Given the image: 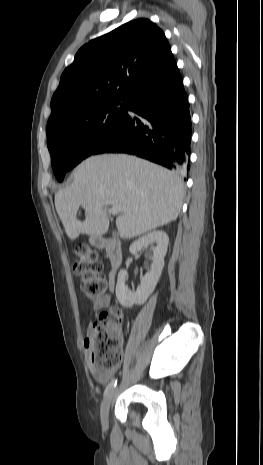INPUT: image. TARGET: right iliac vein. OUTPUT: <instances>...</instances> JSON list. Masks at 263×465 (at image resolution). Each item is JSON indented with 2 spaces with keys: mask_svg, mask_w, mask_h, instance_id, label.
<instances>
[{
  "mask_svg": "<svg viewBox=\"0 0 263 465\" xmlns=\"http://www.w3.org/2000/svg\"><path fill=\"white\" fill-rule=\"evenodd\" d=\"M114 394H115V389L110 390L108 394L105 396V398L103 399V402L101 404L100 416H101V423L104 428L108 427L109 408H110V404H111Z\"/></svg>",
  "mask_w": 263,
  "mask_h": 465,
  "instance_id": "obj_1",
  "label": "right iliac vein"
}]
</instances>
